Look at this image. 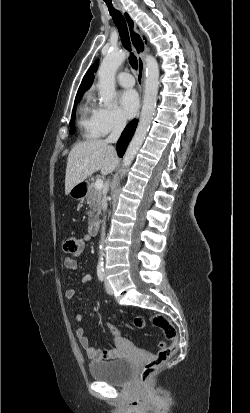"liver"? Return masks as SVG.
Segmentation results:
<instances>
[{"instance_id": "1", "label": "liver", "mask_w": 250, "mask_h": 413, "mask_svg": "<svg viewBox=\"0 0 250 413\" xmlns=\"http://www.w3.org/2000/svg\"><path fill=\"white\" fill-rule=\"evenodd\" d=\"M119 164L115 149L104 140L92 139L76 144L67 159L65 194L97 171L103 176L112 173Z\"/></svg>"}]
</instances>
